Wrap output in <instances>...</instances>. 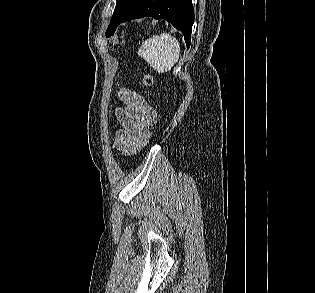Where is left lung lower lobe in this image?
Wrapping results in <instances>:
<instances>
[{
	"label": "left lung lower lobe",
	"instance_id": "left-lung-lower-lobe-1",
	"mask_svg": "<svg viewBox=\"0 0 315 293\" xmlns=\"http://www.w3.org/2000/svg\"><path fill=\"white\" fill-rule=\"evenodd\" d=\"M150 16L165 19L180 30L187 47L190 46L194 9L191 0H139L138 3L120 20L119 24L135 18Z\"/></svg>",
	"mask_w": 315,
	"mask_h": 293
}]
</instances>
